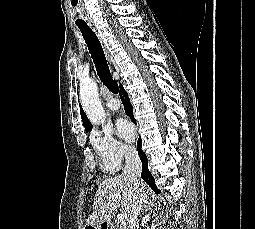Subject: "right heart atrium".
I'll list each match as a JSON object with an SVG mask.
<instances>
[{"label": "right heart atrium", "instance_id": "1", "mask_svg": "<svg viewBox=\"0 0 255 229\" xmlns=\"http://www.w3.org/2000/svg\"><path fill=\"white\" fill-rule=\"evenodd\" d=\"M92 144L105 171L118 169L123 159L132 156L135 152L133 146L118 140L107 128L93 132Z\"/></svg>", "mask_w": 255, "mask_h": 229}]
</instances>
